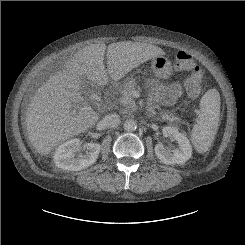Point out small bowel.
Returning a JSON list of instances; mask_svg holds the SVG:
<instances>
[{
    "instance_id": "c3829d8e",
    "label": "small bowel",
    "mask_w": 245,
    "mask_h": 245,
    "mask_svg": "<svg viewBox=\"0 0 245 245\" xmlns=\"http://www.w3.org/2000/svg\"><path fill=\"white\" fill-rule=\"evenodd\" d=\"M149 85L152 91L153 100L149 107L150 114H153L158 105L171 106L182 93V85L179 82L165 84L156 79H150Z\"/></svg>"
}]
</instances>
